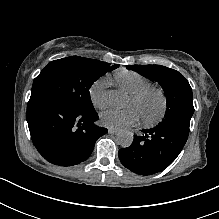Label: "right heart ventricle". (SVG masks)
<instances>
[{
  "instance_id": "obj_1",
  "label": "right heart ventricle",
  "mask_w": 219,
  "mask_h": 219,
  "mask_svg": "<svg viewBox=\"0 0 219 219\" xmlns=\"http://www.w3.org/2000/svg\"><path fill=\"white\" fill-rule=\"evenodd\" d=\"M116 84L128 93L150 86V80L143 74L132 70H120L115 73Z\"/></svg>"
}]
</instances>
